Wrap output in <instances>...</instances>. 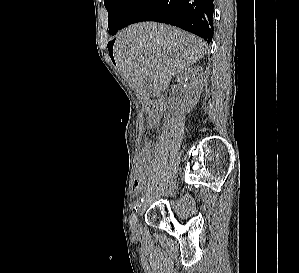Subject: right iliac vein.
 <instances>
[{
	"label": "right iliac vein",
	"instance_id": "obj_1",
	"mask_svg": "<svg viewBox=\"0 0 299 273\" xmlns=\"http://www.w3.org/2000/svg\"><path fill=\"white\" fill-rule=\"evenodd\" d=\"M139 212L140 211H136L133 213L132 215V218H131V227H132V230L134 232H136V229H137V226H138V215H139Z\"/></svg>",
	"mask_w": 299,
	"mask_h": 273
}]
</instances>
